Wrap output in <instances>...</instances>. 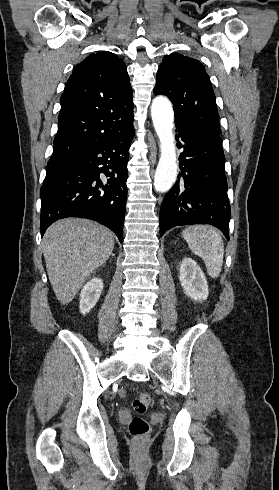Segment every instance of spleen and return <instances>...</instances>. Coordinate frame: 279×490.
Returning <instances> with one entry per match:
<instances>
[{
  "label": "spleen",
  "mask_w": 279,
  "mask_h": 490,
  "mask_svg": "<svg viewBox=\"0 0 279 490\" xmlns=\"http://www.w3.org/2000/svg\"><path fill=\"white\" fill-rule=\"evenodd\" d=\"M185 232L188 236L185 238ZM190 250L204 260L210 278H218L224 256V244L220 232L211 226H189L183 232Z\"/></svg>",
  "instance_id": "obj_1"
}]
</instances>
